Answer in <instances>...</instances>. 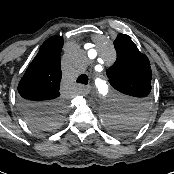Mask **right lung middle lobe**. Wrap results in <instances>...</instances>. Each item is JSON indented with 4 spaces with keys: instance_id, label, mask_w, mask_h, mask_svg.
Masks as SVG:
<instances>
[{
    "instance_id": "dd1d6c3e",
    "label": "right lung middle lobe",
    "mask_w": 174,
    "mask_h": 174,
    "mask_svg": "<svg viewBox=\"0 0 174 174\" xmlns=\"http://www.w3.org/2000/svg\"><path fill=\"white\" fill-rule=\"evenodd\" d=\"M64 113V105L58 102L51 106L47 111L37 113L28 118L33 128L41 131H51L59 127Z\"/></svg>"
}]
</instances>
